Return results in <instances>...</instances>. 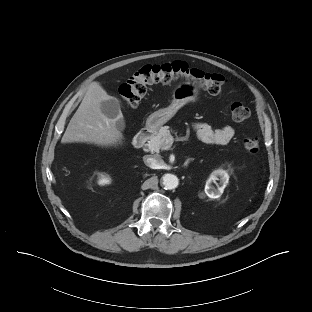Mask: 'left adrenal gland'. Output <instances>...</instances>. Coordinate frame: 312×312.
<instances>
[{
    "mask_svg": "<svg viewBox=\"0 0 312 312\" xmlns=\"http://www.w3.org/2000/svg\"><path fill=\"white\" fill-rule=\"evenodd\" d=\"M193 159H188L185 163H184V167H187L188 166V163L190 162V161H192Z\"/></svg>",
    "mask_w": 312,
    "mask_h": 312,
    "instance_id": "left-adrenal-gland-1",
    "label": "left adrenal gland"
}]
</instances>
